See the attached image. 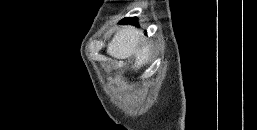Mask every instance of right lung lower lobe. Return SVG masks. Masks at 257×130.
<instances>
[{
    "instance_id": "right-lung-lower-lobe-1",
    "label": "right lung lower lobe",
    "mask_w": 257,
    "mask_h": 130,
    "mask_svg": "<svg viewBox=\"0 0 257 130\" xmlns=\"http://www.w3.org/2000/svg\"><path fill=\"white\" fill-rule=\"evenodd\" d=\"M124 20L127 21L128 19H124ZM133 20H134V18H131V19H130V21H133Z\"/></svg>"
}]
</instances>
